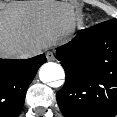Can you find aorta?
Here are the masks:
<instances>
[{"label": "aorta", "mask_w": 117, "mask_h": 117, "mask_svg": "<svg viewBox=\"0 0 117 117\" xmlns=\"http://www.w3.org/2000/svg\"><path fill=\"white\" fill-rule=\"evenodd\" d=\"M39 78L43 83H49L65 78V72L60 64L48 62L41 66Z\"/></svg>", "instance_id": "762f6f07"}]
</instances>
